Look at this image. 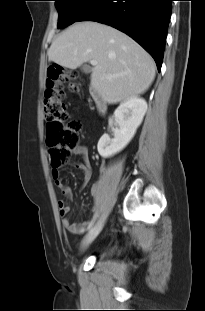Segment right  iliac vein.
<instances>
[{
	"label": "right iliac vein",
	"instance_id": "obj_1",
	"mask_svg": "<svg viewBox=\"0 0 205 311\" xmlns=\"http://www.w3.org/2000/svg\"><path fill=\"white\" fill-rule=\"evenodd\" d=\"M105 221L106 215H103L94 225V227L90 230V232L86 235V237L83 239L81 244L82 249H86L95 240V238L99 235V233L103 229Z\"/></svg>",
	"mask_w": 205,
	"mask_h": 311
}]
</instances>
